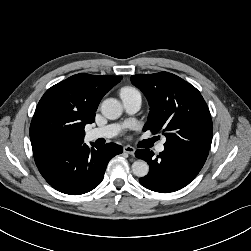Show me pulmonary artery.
Wrapping results in <instances>:
<instances>
[{"label": "pulmonary artery", "mask_w": 251, "mask_h": 251, "mask_svg": "<svg viewBox=\"0 0 251 251\" xmlns=\"http://www.w3.org/2000/svg\"><path fill=\"white\" fill-rule=\"evenodd\" d=\"M123 106L127 113H136L142 104V97L140 93L121 95ZM122 127L119 124H110L101 128H94L87 132L86 136L89 140L98 138H112L118 135ZM165 149V139H163L156 147L157 152H163Z\"/></svg>", "instance_id": "obj_1"}]
</instances>
